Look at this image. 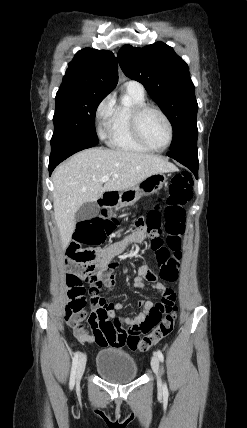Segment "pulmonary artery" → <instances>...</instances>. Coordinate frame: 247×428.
I'll return each instance as SVG.
<instances>
[{
    "mask_svg": "<svg viewBox=\"0 0 247 428\" xmlns=\"http://www.w3.org/2000/svg\"><path fill=\"white\" fill-rule=\"evenodd\" d=\"M125 86L127 88H132V89H136L138 91L144 92V87L141 83H139L138 81L135 80H129L125 83Z\"/></svg>",
    "mask_w": 247,
    "mask_h": 428,
    "instance_id": "e3ab8cb5",
    "label": "pulmonary artery"
}]
</instances>
